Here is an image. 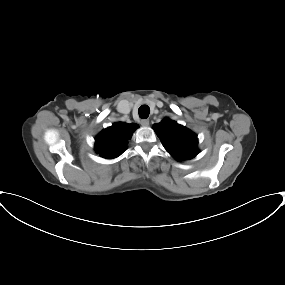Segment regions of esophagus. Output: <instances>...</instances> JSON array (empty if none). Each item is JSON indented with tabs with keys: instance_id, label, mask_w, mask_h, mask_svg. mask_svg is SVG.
I'll use <instances>...</instances> for the list:
<instances>
[{
	"instance_id": "34e87169",
	"label": "esophagus",
	"mask_w": 285,
	"mask_h": 285,
	"mask_svg": "<svg viewBox=\"0 0 285 285\" xmlns=\"http://www.w3.org/2000/svg\"><path fill=\"white\" fill-rule=\"evenodd\" d=\"M141 125L142 126H148L149 125V120L148 119H143V120H141Z\"/></svg>"
}]
</instances>
